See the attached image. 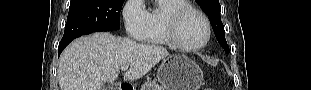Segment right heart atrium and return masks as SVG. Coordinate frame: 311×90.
Segmentation results:
<instances>
[{"label":"right heart atrium","instance_id":"1","mask_svg":"<svg viewBox=\"0 0 311 90\" xmlns=\"http://www.w3.org/2000/svg\"><path fill=\"white\" fill-rule=\"evenodd\" d=\"M128 38L142 40L147 25V10L142 0H128L122 10Z\"/></svg>","mask_w":311,"mask_h":90}]
</instances>
